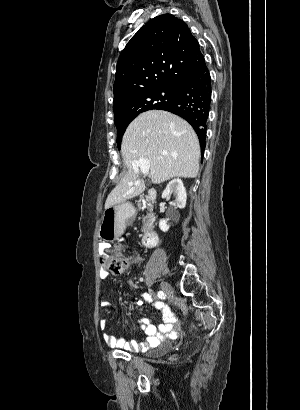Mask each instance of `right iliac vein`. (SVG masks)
Instances as JSON below:
<instances>
[{
    "mask_svg": "<svg viewBox=\"0 0 300 410\" xmlns=\"http://www.w3.org/2000/svg\"><path fill=\"white\" fill-rule=\"evenodd\" d=\"M161 289L163 290V292L167 295H171L173 293V288L171 287V285L167 282H162L160 284Z\"/></svg>",
    "mask_w": 300,
    "mask_h": 410,
    "instance_id": "right-iliac-vein-1",
    "label": "right iliac vein"
}]
</instances>
